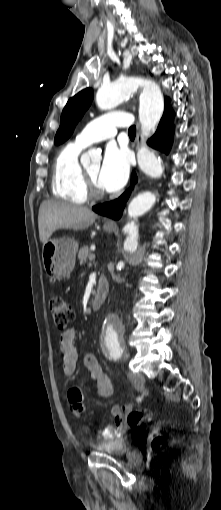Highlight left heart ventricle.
Listing matches in <instances>:
<instances>
[{
	"instance_id": "1",
	"label": "left heart ventricle",
	"mask_w": 221,
	"mask_h": 510,
	"mask_svg": "<svg viewBox=\"0 0 221 510\" xmlns=\"http://www.w3.org/2000/svg\"><path fill=\"white\" fill-rule=\"evenodd\" d=\"M86 171L89 174V176L91 177V179L95 182V184L100 188V186L98 184V175H99V171H100L99 164H96V165H93V166L87 168Z\"/></svg>"
}]
</instances>
